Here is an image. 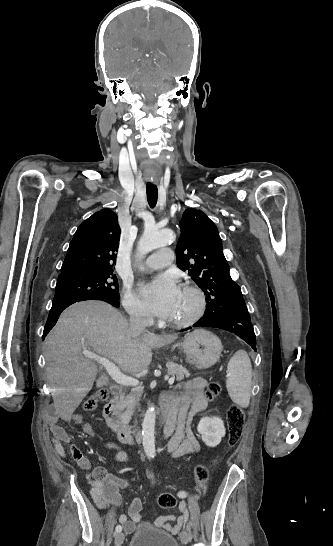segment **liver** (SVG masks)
<instances>
[{
	"instance_id": "6515ba94",
	"label": "liver",
	"mask_w": 333,
	"mask_h": 546,
	"mask_svg": "<svg viewBox=\"0 0 333 546\" xmlns=\"http://www.w3.org/2000/svg\"><path fill=\"white\" fill-rule=\"evenodd\" d=\"M151 333H132L127 320L111 305L83 301L68 307L45 339L46 373L56 413L66 420L92 389L96 363L84 356L91 351L114 361L125 373H139L152 360V349L177 339ZM108 382L101 376L97 387Z\"/></svg>"
}]
</instances>
